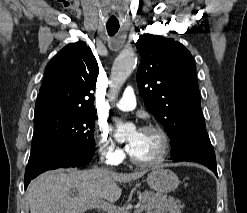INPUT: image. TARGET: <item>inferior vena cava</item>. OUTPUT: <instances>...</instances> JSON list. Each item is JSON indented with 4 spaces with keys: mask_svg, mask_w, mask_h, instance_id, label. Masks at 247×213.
Instances as JSON below:
<instances>
[{
    "mask_svg": "<svg viewBox=\"0 0 247 213\" xmlns=\"http://www.w3.org/2000/svg\"><path fill=\"white\" fill-rule=\"evenodd\" d=\"M101 161H103V157L101 158ZM104 170L110 171V170H108V169H104Z\"/></svg>",
    "mask_w": 247,
    "mask_h": 213,
    "instance_id": "obj_1",
    "label": "inferior vena cava"
}]
</instances>
